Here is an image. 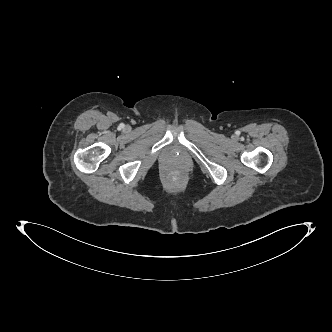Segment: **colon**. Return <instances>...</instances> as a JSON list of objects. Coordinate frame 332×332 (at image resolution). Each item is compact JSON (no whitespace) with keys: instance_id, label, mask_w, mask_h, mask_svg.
I'll return each instance as SVG.
<instances>
[{"instance_id":"colon-1","label":"colon","mask_w":332,"mask_h":332,"mask_svg":"<svg viewBox=\"0 0 332 332\" xmlns=\"http://www.w3.org/2000/svg\"><path fill=\"white\" fill-rule=\"evenodd\" d=\"M166 178L171 181H179L182 180L184 176L180 172H170L166 174Z\"/></svg>"}]
</instances>
